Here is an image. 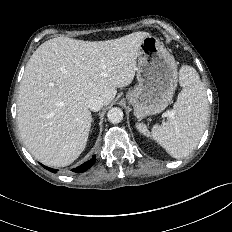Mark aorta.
<instances>
[{
  "label": "aorta",
  "mask_w": 232,
  "mask_h": 232,
  "mask_svg": "<svg viewBox=\"0 0 232 232\" xmlns=\"http://www.w3.org/2000/svg\"><path fill=\"white\" fill-rule=\"evenodd\" d=\"M107 117L113 124L120 123L123 120V111L118 107H113L108 111Z\"/></svg>",
  "instance_id": "1"
}]
</instances>
